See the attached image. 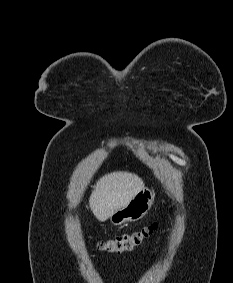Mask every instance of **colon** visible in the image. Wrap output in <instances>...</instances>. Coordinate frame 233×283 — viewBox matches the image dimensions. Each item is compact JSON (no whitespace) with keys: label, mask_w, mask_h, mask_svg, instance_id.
<instances>
[{"label":"colon","mask_w":233,"mask_h":283,"mask_svg":"<svg viewBox=\"0 0 233 283\" xmlns=\"http://www.w3.org/2000/svg\"><path fill=\"white\" fill-rule=\"evenodd\" d=\"M156 229L157 224L152 223L128 233L107 240H101L97 242L96 246L101 251L111 254H120L141 245Z\"/></svg>","instance_id":"obj_1"}]
</instances>
